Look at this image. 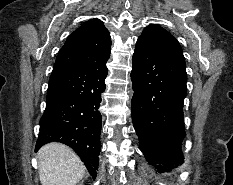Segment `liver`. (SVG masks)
<instances>
[{
    "label": "liver",
    "mask_w": 233,
    "mask_h": 185,
    "mask_svg": "<svg viewBox=\"0 0 233 185\" xmlns=\"http://www.w3.org/2000/svg\"><path fill=\"white\" fill-rule=\"evenodd\" d=\"M37 158L42 185H76L86 172L77 154L61 143L46 144Z\"/></svg>",
    "instance_id": "6515ba94"
}]
</instances>
